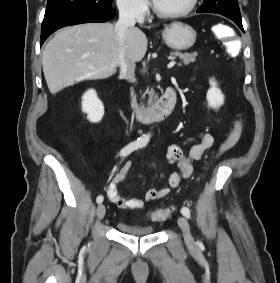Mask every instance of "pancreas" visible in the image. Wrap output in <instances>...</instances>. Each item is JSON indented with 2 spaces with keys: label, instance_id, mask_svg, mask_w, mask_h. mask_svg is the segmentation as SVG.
<instances>
[{
  "label": "pancreas",
  "instance_id": "cf45deb5",
  "mask_svg": "<svg viewBox=\"0 0 280 283\" xmlns=\"http://www.w3.org/2000/svg\"><path fill=\"white\" fill-rule=\"evenodd\" d=\"M170 55L174 58L179 57L184 65H188L190 63L195 62L198 53L197 52L182 53L179 51H175V52H171ZM182 63H179L178 65L181 66ZM145 94H148V105H152L153 102L156 101L158 98L153 89H151L150 91L149 89H147Z\"/></svg>",
  "mask_w": 280,
  "mask_h": 283
}]
</instances>
